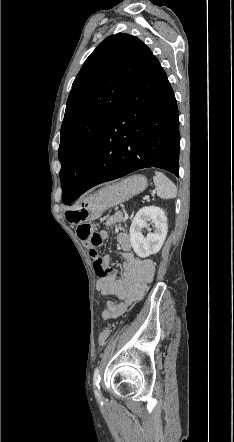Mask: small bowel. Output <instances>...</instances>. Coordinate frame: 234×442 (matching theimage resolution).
Returning <instances> with one entry per match:
<instances>
[{
    "mask_svg": "<svg viewBox=\"0 0 234 442\" xmlns=\"http://www.w3.org/2000/svg\"><path fill=\"white\" fill-rule=\"evenodd\" d=\"M124 220L121 212H115L106 218L104 224L110 228L120 224ZM101 243L108 237V231L99 233ZM118 248L124 259V273L118 278L116 271L110 266V257H100L97 252L89 251L94 269L99 279L96 289L104 296H115L120 302L107 301L102 312L104 320H112L126 312L132 302L139 300L145 293L147 285L154 276V264L151 260L140 259L131 252V240L129 235L120 231L117 235Z\"/></svg>",
    "mask_w": 234,
    "mask_h": 442,
    "instance_id": "small-bowel-1",
    "label": "small bowel"
}]
</instances>
